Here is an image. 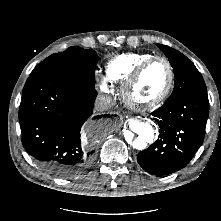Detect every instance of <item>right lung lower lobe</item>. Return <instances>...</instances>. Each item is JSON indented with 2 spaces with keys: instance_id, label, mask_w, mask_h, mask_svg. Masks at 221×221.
Segmentation results:
<instances>
[{
  "instance_id": "98d812e1",
  "label": "right lung lower lobe",
  "mask_w": 221,
  "mask_h": 221,
  "mask_svg": "<svg viewBox=\"0 0 221 221\" xmlns=\"http://www.w3.org/2000/svg\"><path fill=\"white\" fill-rule=\"evenodd\" d=\"M97 96L94 87L43 69L27 79L19 121L22 143L44 171L61 178L82 172L93 159L94 149L84 147L80 138L83 124L93 125L97 134L102 117L93 115Z\"/></svg>"
}]
</instances>
